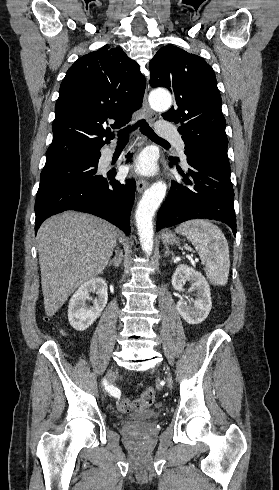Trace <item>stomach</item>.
I'll list each match as a JSON object with an SVG mask.
<instances>
[{"mask_svg": "<svg viewBox=\"0 0 279 490\" xmlns=\"http://www.w3.org/2000/svg\"><path fill=\"white\" fill-rule=\"evenodd\" d=\"M162 242L163 244H166V246H171V244H179V238H176L175 234H172V232H164L162 234Z\"/></svg>", "mask_w": 279, "mask_h": 490, "instance_id": "1", "label": "stomach"}]
</instances>
